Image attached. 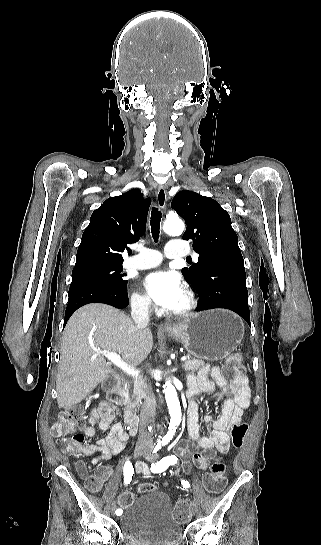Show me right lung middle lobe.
<instances>
[{
    "instance_id": "obj_1",
    "label": "right lung middle lobe",
    "mask_w": 321,
    "mask_h": 545,
    "mask_svg": "<svg viewBox=\"0 0 321 545\" xmlns=\"http://www.w3.org/2000/svg\"><path fill=\"white\" fill-rule=\"evenodd\" d=\"M122 271V264L91 265L73 269L72 280L79 278L96 279L113 284L117 287L125 288L127 287V281L123 280V276H126V274H122Z\"/></svg>"
}]
</instances>
